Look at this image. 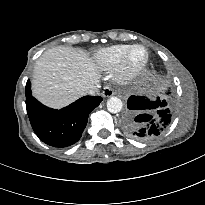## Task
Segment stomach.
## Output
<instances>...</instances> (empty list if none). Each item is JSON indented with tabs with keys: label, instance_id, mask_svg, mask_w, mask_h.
Masks as SVG:
<instances>
[{
	"label": "stomach",
	"instance_id": "stomach-1",
	"mask_svg": "<svg viewBox=\"0 0 205 205\" xmlns=\"http://www.w3.org/2000/svg\"><path fill=\"white\" fill-rule=\"evenodd\" d=\"M145 82H147L148 80H149V78L148 77H144V79H143Z\"/></svg>",
	"mask_w": 205,
	"mask_h": 205
}]
</instances>
